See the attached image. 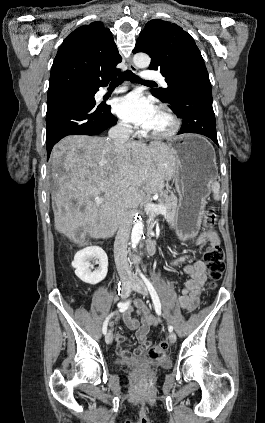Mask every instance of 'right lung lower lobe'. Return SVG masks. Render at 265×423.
Returning a JSON list of instances; mask_svg holds the SVG:
<instances>
[{"label": "right lung lower lobe", "mask_w": 265, "mask_h": 423, "mask_svg": "<svg viewBox=\"0 0 265 423\" xmlns=\"http://www.w3.org/2000/svg\"><path fill=\"white\" fill-rule=\"evenodd\" d=\"M100 85V86H105ZM72 88L48 94L46 113L47 159L52 147L68 135H98L116 124L110 106L96 104L99 87Z\"/></svg>", "instance_id": "1"}]
</instances>
